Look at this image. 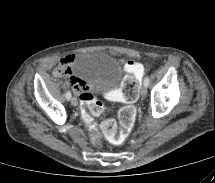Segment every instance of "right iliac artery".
<instances>
[{"label":"right iliac artery","mask_w":215,"mask_h":183,"mask_svg":"<svg viewBox=\"0 0 215 183\" xmlns=\"http://www.w3.org/2000/svg\"><path fill=\"white\" fill-rule=\"evenodd\" d=\"M71 96H72L71 93H70V92H67V94H66V99H67V100H70V99H71Z\"/></svg>","instance_id":"obj_1"}]
</instances>
